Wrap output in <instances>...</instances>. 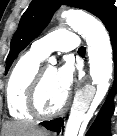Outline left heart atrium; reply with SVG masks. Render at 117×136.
Returning a JSON list of instances; mask_svg holds the SVG:
<instances>
[{
	"instance_id": "left-heart-atrium-1",
	"label": "left heart atrium",
	"mask_w": 117,
	"mask_h": 136,
	"mask_svg": "<svg viewBox=\"0 0 117 136\" xmlns=\"http://www.w3.org/2000/svg\"><path fill=\"white\" fill-rule=\"evenodd\" d=\"M56 81L67 95L74 81V68L71 62H65L56 70Z\"/></svg>"
}]
</instances>
